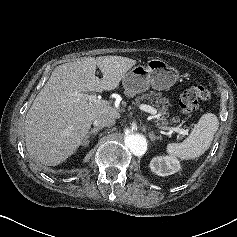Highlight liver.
I'll list each match as a JSON object with an SVG mask.
<instances>
[{"label":"liver","mask_w":237,"mask_h":237,"mask_svg":"<svg viewBox=\"0 0 237 237\" xmlns=\"http://www.w3.org/2000/svg\"><path fill=\"white\" fill-rule=\"evenodd\" d=\"M135 64L136 60L110 55L57 66L27 112V151L41 163L56 166L78 149L97 117L119 118L110 105L90 102L81 95L117 89ZM96 67L101 79L95 75Z\"/></svg>","instance_id":"6515ba94"}]
</instances>
